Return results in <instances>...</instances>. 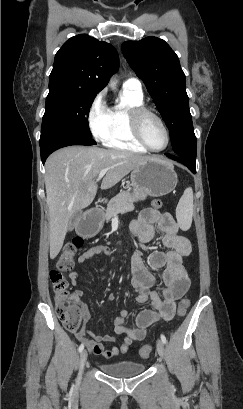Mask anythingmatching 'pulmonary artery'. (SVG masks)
<instances>
[{"label": "pulmonary artery", "mask_w": 243, "mask_h": 409, "mask_svg": "<svg viewBox=\"0 0 243 409\" xmlns=\"http://www.w3.org/2000/svg\"><path fill=\"white\" fill-rule=\"evenodd\" d=\"M123 88L134 91L136 93H142V85L137 78H128L123 82Z\"/></svg>", "instance_id": "e3ab8cb5"}]
</instances>
